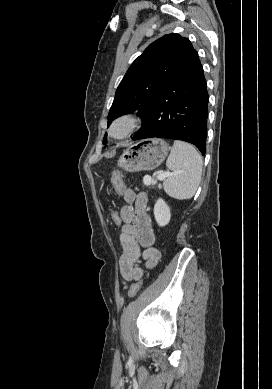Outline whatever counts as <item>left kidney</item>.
<instances>
[{"mask_svg":"<svg viewBox=\"0 0 272 389\" xmlns=\"http://www.w3.org/2000/svg\"><path fill=\"white\" fill-rule=\"evenodd\" d=\"M154 216L159 226L163 227L170 222V207L162 198H159L154 205Z\"/></svg>","mask_w":272,"mask_h":389,"instance_id":"obj_1","label":"left kidney"}]
</instances>
